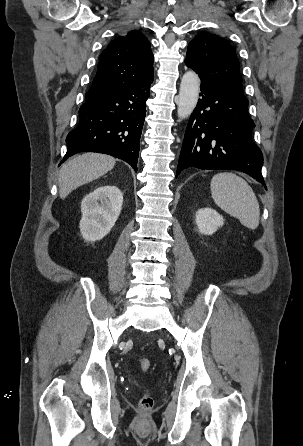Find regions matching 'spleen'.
Segmentation results:
<instances>
[{"instance_id": "spleen-1", "label": "spleen", "mask_w": 303, "mask_h": 446, "mask_svg": "<svg viewBox=\"0 0 303 446\" xmlns=\"http://www.w3.org/2000/svg\"><path fill=\"white\" fill-rule=\"evenodd\" d=\"M210 189L214 202L222 210L249 229L258 227L259 203L253 189L243 178L232 172H221L213 176Z\"/></svg>"}]
</instances>
